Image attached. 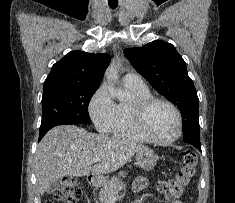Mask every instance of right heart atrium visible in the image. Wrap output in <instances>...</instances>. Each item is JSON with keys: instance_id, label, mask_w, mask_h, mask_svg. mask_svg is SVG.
I'll list each match as a JSON object with an SVG mask.
<instances>
[{"instance_id": "right-heart-atrium-1", "label": "right heart atrium", "mask_w": 235, "mask_h": 203, "mask_svg": "<svg viewBox=\"0 0 235 203\" xmlns=\"http://www.w3.org/2000/svg\"><path fill=\"white\" fill-rule=\"evenodd\" d=\"M88 112L100 132H108L116 114V104L106 85H101L92 95Z\"/></svg>"}]
</instances>
